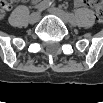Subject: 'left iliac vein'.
Segmentation results:
<instances>
[{"instance_id": "left-iliac-vein-1", "label": "left iliac vein", "mask_w": 103, "mask_h": 103, "mask_svg": "<svg viewBox=\"0 0 103 103\" xmlns=\"http://www.w3.org/2000/svg\"><path fill=\"white\" fill-rule=\"evenodd\" d=\"M49 12L58 16L66 24L70 22L68 15L59 8H50Z\"/></svg>"}]
</instances>
